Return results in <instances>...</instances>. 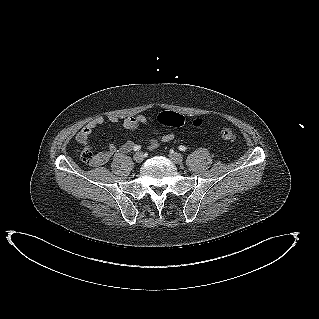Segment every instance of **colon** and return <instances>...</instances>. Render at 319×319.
Returning a JSON list of instances; mask_svg holds the SVG:
<instances>
[{"label":"colon","instance_id":"5ec220e1","mask_svg":"<svg viewBox=\"0 0 319 319\" xmlns=\"http://www.w3.org/2000/svg\"><path fill=\"white\" fill-rule=\"evenodd\" d=\"M157 121L166 127H180L184 124L185 118L183 115L173 111H163L157 116ZM192 124L199 127L203 124V120L197 118L193 120ZM220 136L229 142H235L238 138L237 133L230 127L221 125L219 127ZM80 157L85 163H92L94 160V154L87 149L80 151Z\"/></svg>","mask_w":319,"mask_h":319}]
</instances>
